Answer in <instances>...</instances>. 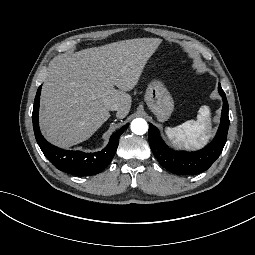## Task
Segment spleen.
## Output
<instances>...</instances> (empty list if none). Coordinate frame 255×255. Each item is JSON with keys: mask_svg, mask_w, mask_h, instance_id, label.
<instances>
[{"mask_svg": "<svg viewBox=\"0 0 255 255\" xmlns=\"http://www.w3.org/2000/svg\"><path fill=\"white\" fill-rule=\"evenodd\" d=\"M207 107L200 108L199 121L189 120L176 127H167L168 137L176 144L185 147H199L208 138L206 132L210 128Z\"/></svg>", "mask_w": 255, "mask_h": 255, "instance_id": "1", "label": "spleen"}]
</instances>
